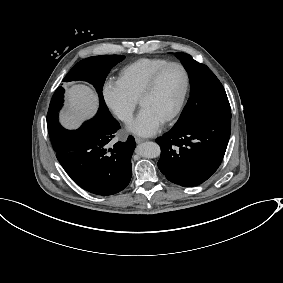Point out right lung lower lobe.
I'll return each instance as SVG.
<instances>
[{"mask_svg":"<svg viewBox=\"0 0 283 283\" xmlns=\"http://www.w3.org/2000/svg\"><path fill=\"white\" fill-rule=\"evenodd\" d=\"M120 128L110 112H99L79 129L65 130L56 157L70 178L96 195H112L123 190L132 176L131 157L135 140L108 144ZM111 146V148H109Z\"/></svg>","mask_w":283,"mask_h":283,"instance_id":"98d812e1","label":"right lung lower lobe"}]
</instances>
